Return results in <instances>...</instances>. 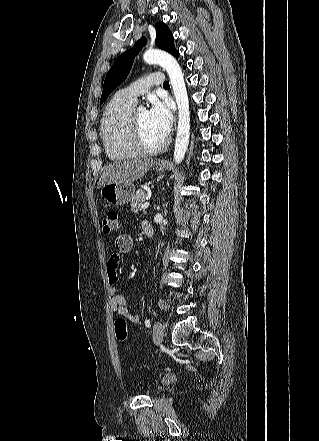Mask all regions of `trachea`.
<instances>
[{"label": "trachea", "mask_w": 319, "mask_h": 441, "mask_svg": "<svg viewBox=\"0 0 319 441\" xmlns=\"http://www.w3.org/2000/svg\"><path fill=\"white\" fill-rule=\"evenodd\" d=\"M163 87L168 88L169 87V82L165 81L163 84Z\"/></svg>", "instance_id": "3493384b"}]
</instances>
